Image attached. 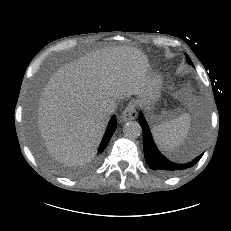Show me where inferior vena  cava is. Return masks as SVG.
I'll use <instances>...</instances> for the list:
<instances>
[{"label": "inferior vena cava", "mask_w": 231, "mask_h": 231, "mask_svg": "<svg viewBox=\"0 0 231 231\" xmlns=\"http://www.w3.org/2000/svg\"><path fill=\"white\" fill-rule=\"evenodd\" d=\"M115 108H116V103L111 102V103L107 104V106H106V112L108 114H111V113L114 112Z\"/></svg>", "instance_id": "1"}]
</instances>
